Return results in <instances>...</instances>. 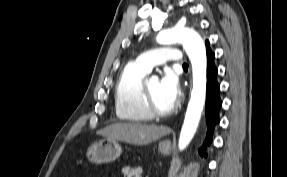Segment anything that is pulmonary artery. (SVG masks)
I'll return each instance as SVG.
<instances>
[{
    "mask_svg": "<svg viewBox=\"0 0 287 177\" xmlns=\"http://www.w3.org/2000/svg\"><path fill=\"white\" fill-rule=\"evenodd\" d=\"M165 62H170L174 66H181L184 64L181 52L171 46L147 50L141 56L133 60V63L148 72H150L154 66L161 65Z\"/></svg>",
    "mask_w": 287,
    "mask_h": 177,
    "instance_id": "1",
    "label": "pulmonary artery"
}]
</instances>
